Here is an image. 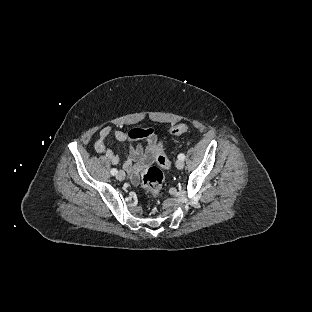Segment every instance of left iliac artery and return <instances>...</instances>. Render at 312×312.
Masks as SVG:
<instances>
[{"label": "left iliac artery", "mask_w": 312, "mask_h": 312, "mask_svg": "<svg viewBox=\"0 0 312 312\" xmlns=\"http://www.w3.org/2000/svg\"><path fill=\"white\" fill-rule=\"evenodd\" d=\"M178 159H180V160H184V159H185V155H184V154H182V153H181V154H179V155H178Z\"/></svg>", "instance_id": "obj_1"}]
</instances>
